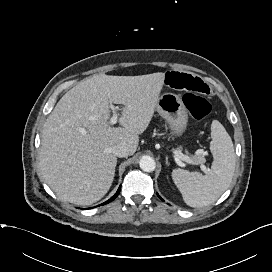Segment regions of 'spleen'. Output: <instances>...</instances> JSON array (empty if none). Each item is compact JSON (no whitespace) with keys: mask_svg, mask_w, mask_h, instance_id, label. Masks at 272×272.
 I'll return each instance as SVG.
<instances>
[{"mask_svg":"<svg viewBox=\"0 0 272 272\" xmlns=\"http://www.w3.org/2000/svg\"><path fill=\"white\" fill-rule=\"evenodd\" d=\"M210 150L214 161L210 172L202 175L184 169H174L172 179L190 207L214 203L229 187L235 172L236 157L231 137L217 120L211 124Z\"/></svg>","mask_w":272,"mask_h":272,"instance_id":"obj_1","label":"spleen"}]
</instances>
